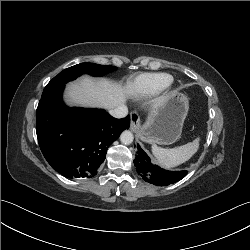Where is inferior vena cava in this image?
<instances>
[{"mask_svg":"<svg viewBox=\"0 0 250 250\" xmlns=\"http://www.w3.org/2000/svg\"><path fill=\"white\" fill-rule=\"evenodd\" d=\"M109 114L115 118H124L128 115V108L125 105L109 110Z\"/></svg>","mask_w":250,"mask_h":250,"instance_id":"602c4592","label":"inferior vena cava"}]
</instances>
